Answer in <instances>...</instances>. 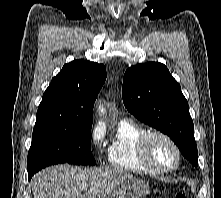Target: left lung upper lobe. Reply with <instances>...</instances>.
<instances>
[{
	"instance_id": "5c2ea615",
	"label": "left lung upper lobe",
	"mask_w": 221,
	"mask_h": 198,
	"mask_svg": "<svg viewBox=\"0 0 221 198\" xmlns=\"http://www.w3.org/2000/svg\"><path fill=\"white\" fill-rule=\"evenodd\" d=\"M122 98L130 113L167 134L183 156L198 167L188 102L164 64L149 62L129 68L123 78Z\"/></svg>"
}]
</instances>
